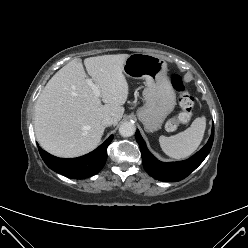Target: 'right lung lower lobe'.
<instances>
[{"label":"right lung lower lobe","instance_id":"right-lung-lower-lobe-1","mask_svg":"<svg viewBox=\"0 0 248 248\" xmlns=\"http://www.w3.org/2000/svg\"><path fill=\"white\" fill-rule=\"evenodd\" d=\"M112 139L113 135L91 153L78 158H58L41 148L39 152L50 169L69 178L84 179L97 174L103 168L107 159V147Z\"/></svg>","mask_w":248,"mask_h":248}]
</instances>
